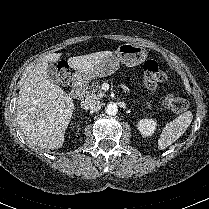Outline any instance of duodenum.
<instances>
[{
	"instance_id": "1",
	"label": "duodenum",
	"mask_w": 209,
	"mask_h": 209,
	"mask_svg": "<svg viewBox=\"0 0 209 209\" xmlns=\"http://www.w3.org/2000/svg\"><path fill=\"white\" fill-rule=\"evenodd\" d=\"M85 84L80 80H76L71 89L70 95L74 99H79L84 92Z\"/></svg>"
}]
</instances>
